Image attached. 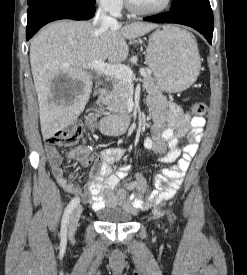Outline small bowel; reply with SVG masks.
<instances>
[{
    "label": "small bowel",
    "instance_id": "c3829d8e",
    "mask_svg": "<svg viewBox=\"0 0 247 275\" xmlns=\"http://www.w3.org/2000/svg\"><path fill=\"white\" fill-rule=\"evenodd\" d=\"M149 110L154 124L152 136L144 140V147L162 155L159 162L172 164L161 168L154 178V189L150 190L147 180L140 174H135L125 188H119L122 180L131 171L130 165H125L113 171L115 163L121 160L123 150L107 148L102 151H92L89 148H78V161L82 166L94 165L88 176L85 189L71 182L75 172L69 176L64 174L62 157L53 145H46V154L52 172L60 187L69 194L80 196L86 203H90L94 210L102 208L120 207L129 213L149 205L172 198L182 184L191 159L196 155L202 130L206 124L204 117H191L183 112L176 103L167 101L159 95L148 98ZM168 124V128L164 126ZM188 135L189 142L181 149L178 140ZM165 183V185H163Z\"/></svg>",
    "mask_w": 247,
    "mask_h": 275
}]
</instances>
